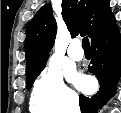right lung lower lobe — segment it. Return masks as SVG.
I'll return each mask as SVG.
<instances>
[{
    "label": "right lung lower lobe",
    "instance_id": "1",
    "mask_svg": "<svg viewBox=\"0 0 121 113\" xmlns=\"http://www.w3.org/2000/svg\"><path fill=\"white\" fill-rule=\"evenodd\" d=\"M93 57L88 67L100 83L99 91L91 97L80 95L81 113H98V109L113 96L120 78L121 41L115 24L91 42Z\"/></svg>",
    "mask_w": 121,
    "mask_h": 113
}]
</instances>
